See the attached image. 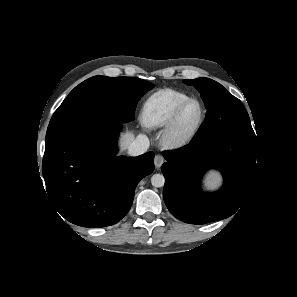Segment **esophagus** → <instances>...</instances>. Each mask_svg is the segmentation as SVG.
Masks as SVG:
<instances>
[{
    "label": "esophagus",
    "instance_id": "1",
    "mask_svg": "<svg viewBox=\"0 0 297 297\" xmlns=\"http://www.w3.org/2000/svg\"><path fill=\"white\" fill-rule=\"evenodd\" d=\"M164 163V157L162 155H156L154 158V164L156 168H160Z\"/></svg>",
    "mask_w": 297,
    "mask_h": 297
}]
</instances>
